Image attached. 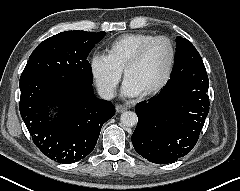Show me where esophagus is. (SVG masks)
Here are the masks:
<instances>
[{
  "label": "esophagus",
  "mask_w": 240,
  "mask_h": 191,
  "mask_svg": "<svg viewBox=\"0 0 240 191\" xmlns=\"http://www.w3.org/2000/svg\"><path fill=\"white\" fill-rule=\"evenodd\" d=\"M127 109H128V107L126 105L119 104L116 106V111L119 113H122V112L126 111Z\"/></svg>",
  "instance_id": "34e87169"
}]
</instances>
